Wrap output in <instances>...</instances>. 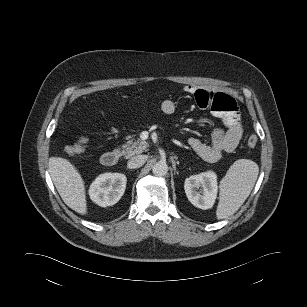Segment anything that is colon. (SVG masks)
Listing matches in <instances>:
<instances>
[{
    "label": "colon",
    "instance_id": "5ec220e1",
    "mask_svg": "<svg viewBox=\"0 0 307 307\" xmlns=\"http://www.w3.org/2000/svg\"><path fill=\"white\" fill-rule=\"evenodd\" d=\"M86 144H87V137L86 135L82 134L78 137V139L74 143L66 146L65 151L70 156H77L84 151ZM257 144H258L257 136L255 134H250L246 139L247 147L249 149H254L257 146Z\"/></svg>",
    "mask_w": 307,
    "mask_h": 307
}]
</instances>
